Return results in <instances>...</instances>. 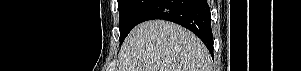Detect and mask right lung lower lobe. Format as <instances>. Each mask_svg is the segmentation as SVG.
<instances>
[{
  "label": "right lung lower lobe",
  "mask_w": 301,
  "mask_h": 71,
  "mask_svg": "<svg viewBox=\"0 0 301 71\" xmlns=\"http://www.w3.org/2000/svg\"><path fill=\"white\" fill-rule=\"evenodd\" d=\"M152 19L172 21L191 30L213 55L211 15L206 0H156L145 11L140 23Z\"/></svg>",
  "instance_id": "1"
}]
</instances>
